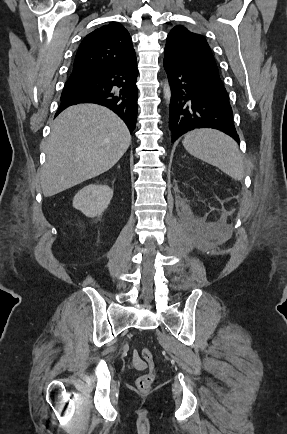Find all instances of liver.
Instances as JSON below:
<instances>
[{
	"label": "liver",
	"instance_id": "1",
	"mask_svg": "<svg viewBox=\"0 0 287 434\" xmlns=\"http://www.w3.org/2000/svg\"><path fill=\"white\" fill-rule=\"evenodd\" d=\"M131 135L109 109L78 104L52 123L40 182L51 197L111 169L127 151Z\"/></svg>",
	"mask_w": 287,
	"mask_h": 434
}]
</instances>
